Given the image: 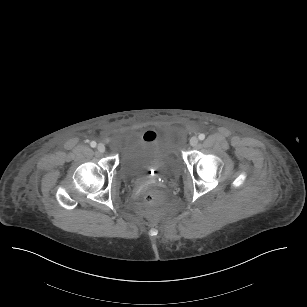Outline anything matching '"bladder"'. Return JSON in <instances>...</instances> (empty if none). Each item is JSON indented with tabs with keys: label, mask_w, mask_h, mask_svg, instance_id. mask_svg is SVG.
Segmentation results:
<instances>
[{
	"label": "bladder",
	"mask_w": 307,
	"mask_h": 307,
	"mask_svg": "<svg viewBox=\"0 0 307 307\" xmlns=\"http://www.w3.org/2000/svg\"><path fill=\"white\" fill-rule=\"evenodd\" d=\"M119 166L121 176L133 181L148 178L153 170L170 175L180 171L178 155L170 145L146 140L123 149Z\"/></svg>",
	"instance_id": "31cf9c89"
}]
</instances>
